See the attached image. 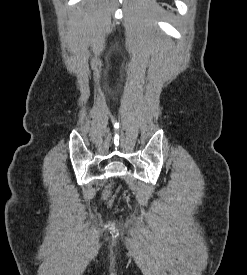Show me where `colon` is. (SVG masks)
Masks as SVG:
<instances>
[{"label": "colon", "mask_w": 247, "mask_h": 275, "mask_svg": "<svg viewBox=\"0 0 247 275\" xmlns=\"http://www.w3.org/2000/svg\"><path fill=\"white\" fill-rule=\"evenodd\" d=\"M111 187L109 186L105 191V197L108 198L110 195Z\"/></svg>", "instance_id": "colon-1"}]
</instances>
